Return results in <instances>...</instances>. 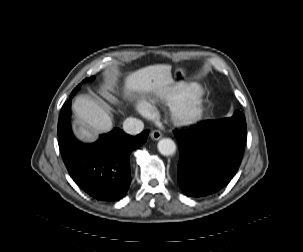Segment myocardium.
I'll return each mask as SVG.
<instances>
[{
  "label": "myocardium",
  "mask_w": 303,
  "mask_h": 252,
  "mask_svg": "<svg viewBox=\"0 0 303 252\" xmlns=\"http://www.w3.org/2000/svg\"><path fill=\"white\" fill-rule=\"evenodd\" d=\"M202 113V105L194 101H187L177 105L172 111V120L180 124H188L197 120Z\"/></svg>",
  "instance_id": "f54148a6"
}]
</instances>
